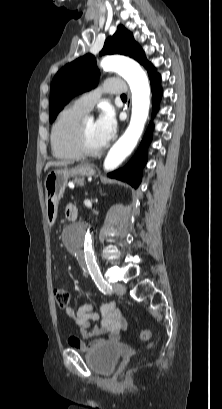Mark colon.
Returning <instances> with one entry per match:
<instances>
[{
  "instance_id": "obj_1",
  "label": "colon",
  "mask_w": 222,
  "mask_h": 409,
  "mask_svg": "<svg viewBox=\"0 0 222 409\" xmlns=\"http://www.w3.org/2000/svg\"><path fill=\"white\" fill-rule=\"evenodd\" d=\"M54 296L56 299V303L60 308H67L70 302V294L66 290L63 289H55ZM141 340H148L150 338V331L148 329H143L140 332Z\"/></svg>"
}]
</instances>
